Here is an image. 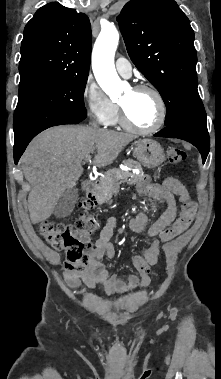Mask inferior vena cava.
Here are the masks:
<instances>
[{"label": "inferior vena cava", "instance_id": "obj_1", "mask_svg": "<svg viewBox=\"0 0 221 379\" xmlns=\"http://www.w3.org/2000/svg\"><path fill=\"white\" fill-rule=\"evenodd\" d=\"M92 126H93L94 128H98V126H97L96 123H92Z\"/></svg>", "mask_w": 221, "mask_h": 379}]
</instances>
